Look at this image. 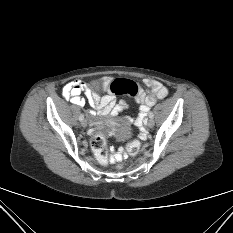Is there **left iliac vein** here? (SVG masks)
Segmentation results:
<instances>
[{
    "mask_svg": "<svg viewBox=\"0 0 233 233\" xmlns=\"http://www.w3.org/2000/svg\"><path fill=\"white\" fill-rule=\"evenodd\" d=\"M147 127L148 128H153L154 127V120L152 118L148 120Z\"/></svg>",
    "mask_w": 233,
    "mask_h": 233,
    "instance_id": "1",
    "label": "left iliac vein"
}]
</instances>
